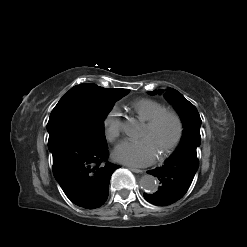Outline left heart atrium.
<instances>
[{
  "instance_id": "obj_1",
  "label": "left heart atrium",
  "mask_w": 247,
  "mask_h": 247,
  "mask_svg": "<svg viewBox=\"0 0 247 247\" xmlns=\"http://www.w3.org/2000/svg\"><path fill=\"white\" fill-rule=\"evenodd\" d=\"M157 149L149 138L132 141L125 140L115 148L116 161L131 166L143 167L152 164L157 157Z\"/></svg>"
}]
</instances>
